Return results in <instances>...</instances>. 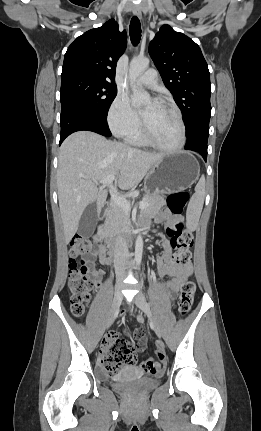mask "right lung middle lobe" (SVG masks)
I'll use <instances>...</instances> for the list:
<instances>
[{"mask_svg": "<svg viewBox=\"0 0 261 431\" xmlns=\"http://www.w3.org/2000/svg\"><path fill=\"white\" fill-rule=\"evenodd\" d=\"M116 95V85L88 75L75 74L61 78V104H71L93 116L106 118Z\"/></svg>", "mask_w": 261, "mask_h": 431, "instance_id": "1", "label": "right lung middle lobe"}]
</instances>
